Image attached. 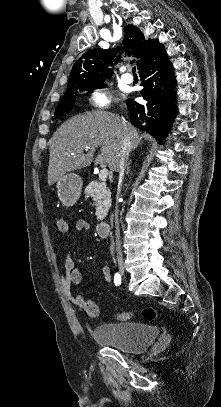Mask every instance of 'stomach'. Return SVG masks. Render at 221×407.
<instances>
[{
  "label": "stomach",
  "instance_id": "1",
  "mask_svg": "<svg viewBox=\"0 0 221 407\" xmlns=\"http://www.w3.org/2000/svg\"><path fill=\"white\" fill-rule=\"evenodd\" d=\"M82 179L76 173L64 174L56 183L57 195L66 207L73 206L81 195Z\"/></svg>",
  "mask_w": 221,
  "mask_h": 407
}]
</instances>
